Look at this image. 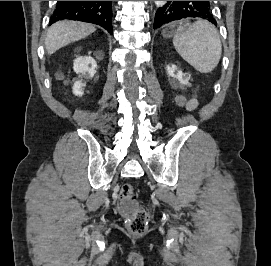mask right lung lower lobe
<instances>
[{
    "label": "right lung lower lobe",
    "mask_w": 271,
    "mask_h": 266,
    "mask_svg": "<svg viewBox=\"0 0 271 266\" xmlns=\"http://www.w3.org/2000/svg\"><path fill=\"white\" fill-rule=\"evenodd\" d=\"M69 19L90 22L112 33V1H58L50 24Z\"/></svg>",
    "instance_id": "obj_1"
}]
</instances>
